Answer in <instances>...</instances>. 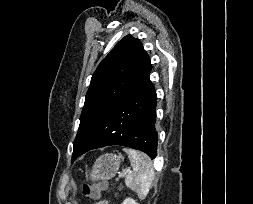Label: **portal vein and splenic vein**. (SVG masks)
<instances>
[{"label":"portal vein and splenic vein","mask_w":253,"mask_h":204,"mask_svg":"<svg viewBox=\"0 0 253 204\" xmlns=\"http://www.w3.org/2000/svg\"><path fill=\"white\" fill-rule=\"evenodd\" d=\"M131 172V170H126L125 172H124V175L123 176H125L126 174H128V173H130Z\"/></svg>","instance_id":"obj_1"}]
</instances>
